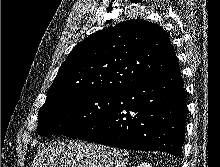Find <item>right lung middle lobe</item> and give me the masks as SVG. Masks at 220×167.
Instances as JSON below:
<instances>
[{
  "instance_id": "obj_1",
  "label": "right lung middle lobe",
  "mask_w": 220,
  "mask_h": 167,
  "mask_svg": "<svg viewBox=\"0 0 220 167\" xmlns=\"http://www.w3.org/2000/svg\"><path fill=\"white\" fill-rule=\"evenodd\" d=\"M116 95L112 92L77 91L46 101L38 112V133L78 138L104 117Z\"/></svg>"
}]
</instances>
